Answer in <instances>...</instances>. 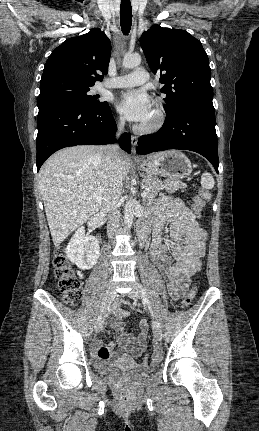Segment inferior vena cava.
Instances as JSON below:
<instances>
[{
  "label": "inferior vena cava",
  "mask_w": 259,
  "mask_h": 431,
  "mask_svg": "<svg viewBox=\"0 0 259 431\" xmlns=\"http://www.w3.org/2000/svg\"><path fill=\"white\" fill-rule=\"evenodd\" d=\"M125 120L120 119L118 124V133L124 131ZM105 150V165L107 172V181L103 195V208L109 214L107 224V234L109 238H113L119 221L120 213L118 210L119 197L122 191V175L120 171V150L117 145H109Z\"/></svg>",
  "instance_id": "1"
}]
</instances>
